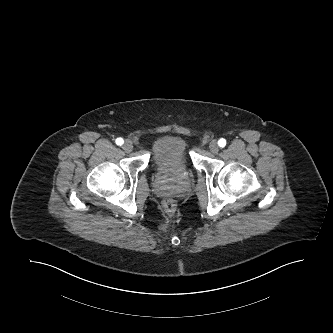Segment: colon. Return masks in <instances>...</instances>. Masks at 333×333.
I'll list each match as a JSON object with an SVG mask.
<instances>
[{
    "label": "colon",
    "mask_w": 333,
    "mask_h": 333,
    "mask_svg": "<svg viewBox=\"0 0 333 333\" xmlns=\"http://www.w3.org/2000/svg\"><path fill=\"white\" fill-rule=\"evenodd\" d=\"M164 206L167 212H173L175 209V203L173 200H167Z\"/></svg>",
    "instance_id": "obj_1"
}]
</instances>
